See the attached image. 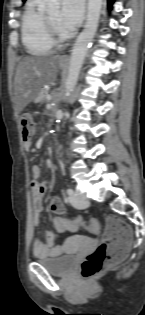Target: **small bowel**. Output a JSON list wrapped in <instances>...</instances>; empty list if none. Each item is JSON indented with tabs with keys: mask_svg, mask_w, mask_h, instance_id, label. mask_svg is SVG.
Listing matches in <instances>:
<instances>
[{
	"mask_svg": "<svg viewBox=\"0 0 145 315\" xmlns=\"http://www.w3.org/2000/svg\"><path fill=\"white\" fill-rule=\"evenodd\" d=\"M32 147V141L28 140L24 142V148L29 150ZM41 169L39 166L31 167V182L30 190L32 194L33 202V218L32 223L34 226H38L40 223V214L42 212V201L47 192V185L44 182H40ZM55 207H65L63 202L59 200V205ZM54 227L58 233H65L67 231H76L78 229V219H58V216L54 218ZM58 236L49 231H44V240L34 238L32 243V251L36 257H57L63 252L61 246L56 245Z\"/></svg>",
	"mask_w": 145,
	"mask_h": 315,
	"instance_id": "obj_1",
	"label": "small bowel"
}]
</instances>
